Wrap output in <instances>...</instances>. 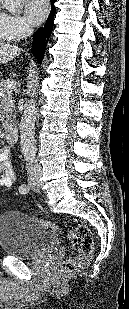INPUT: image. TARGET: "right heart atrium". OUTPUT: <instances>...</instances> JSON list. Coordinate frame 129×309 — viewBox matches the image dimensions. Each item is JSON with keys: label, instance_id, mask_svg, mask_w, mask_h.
I'll return each instance as SVG.
<instances>
[{"label": "right heart atrium", "instance_id": "right-heart-atrium-1", "mask_svg": "<svg viewBox=\"0 0 129 309\" xmlns=\"http://www.w3.org/2000/svg\"><path fill=\"white\" fill-rule=\"evenodd\" d=\"M1 27L9 40L18 41L32 32L28 22L18 14L0 13Z\"/></svg>", "mask_w": 129, "mask_h": 309}]
</instances>
